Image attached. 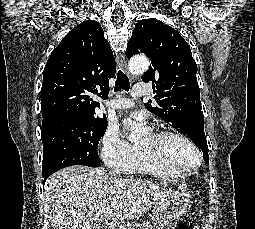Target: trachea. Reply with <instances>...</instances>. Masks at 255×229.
Segmentation results:
<instances>
[{
	"label": "trachea",
	"mask_w": 255,
	"mask_h": 229,
	"mask_svg": "<svg viewBox=\"0 0 255 229\" xmlns=\"http://www.w3.org/2000/svg\"><path fill=\"white\" fill-rule=\"evenodd\" d=\"M121 89H123L125 91H129L130 83H129V79H128L127 75L125 73H123L122 71H119L118 75H117L116 82H115L114 91L116 92Z\"/></svg>",
	"instance_id": "trachea-1"
}]
</instances>
